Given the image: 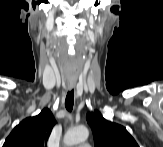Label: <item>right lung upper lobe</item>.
<instances>
[{
  "instance_id": "cb5924a9",
  "label": "right lung upper lobe",
  "mask_w": 163,
  "mask_h": 147,
  "mask_svg": "<svg viewBox=\"0 0 163 147\" xmlns=\"http://www.w3.org/2000/svg\"><path fill=\"white\" fill-rule=\"evenodd\" d=\"M55 123L51 111L45 108L37 116L21 121L6 138L3 147H46Z\"/></svg>"
}]
</instances>
